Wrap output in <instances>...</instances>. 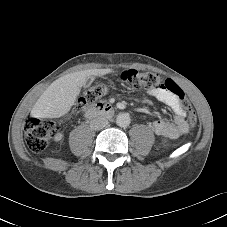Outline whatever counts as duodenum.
<instances>
[{
    "label": "duodenum",
    "mask_w": 227,
    "mask_h": 227,
    "mask_svg": "<svg viewBox=\"0 0 227 227\" xmlns=\"http://www.w3.org/2000/svg\"><path fill=\"white\" fill-rule=\"evenodd\" d=\"M116 113V109L105 102H99L87 107L85 110V116L87 118H95L98 116L110 117Z\"/></svg>",
    "instance_id": "obj_1"
}]
</instances>
